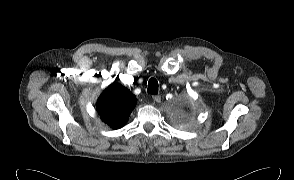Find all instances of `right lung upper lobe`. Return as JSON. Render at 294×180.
Masks as SVG:
<instances>
[{
  "instance_id": "1",
  "label": "right lung upper lobe",
  "mask_w": 294,
  "mask_h": 180,
  "mask_svg": "<svg viewBox=\"0 0 294 180\" xmlns=\"http://www.w3.org/2000/svg\"><path fill=\"white\" fill-rule=\"evenodd\" d=\"M135 95L118 83L107 87L97 102V111L103 122L112 128H120L127 121L136 105Z\"/></svg>"
}]
</instances>
